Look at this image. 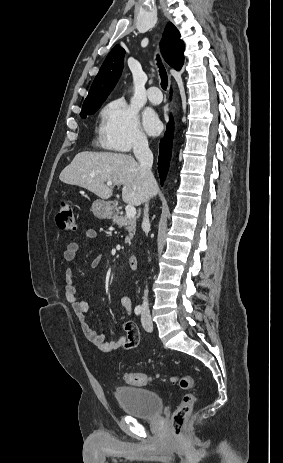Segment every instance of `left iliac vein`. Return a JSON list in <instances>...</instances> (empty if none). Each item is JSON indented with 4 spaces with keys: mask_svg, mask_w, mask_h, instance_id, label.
Instances as JSON below:
<instances>
[{
    "mask_svg": "<svg viewBox=\"0 0 283 463\" xmlns=\"http://www.w3.org/2000/svg\"><path fill=\"white\" fill-rule=\"evenodd\" d=\"M141 322L146 331L151 332L153 330V323L149 312L142 313Z\"/></svg>",
    "mask_w": 283,
    "mask_h": 463,
    "instance_id": "left-iliac-vein-1",
    "label": "left iliac vein"
}]
</instances>
